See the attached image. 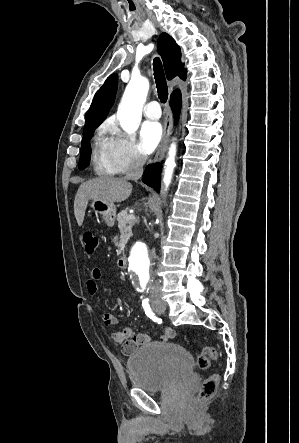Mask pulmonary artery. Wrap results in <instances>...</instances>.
<instances>
[{
    "mask_svg": "<svg viewBox=\"0 0 299 443\" xmlns=\"http://www.w3.org/2000/svg\"><path fill=\"white\" fill-rule=\"evenodd\" d=\"M144 115L149 119H158L161 116V109L157 101H150L144 108Z\"/></svg>",
    "mask_w": 299,
    "mask_h": 443,
    "instance_id": "e3ab8cb5",
    "label": "pulmonary artery"
}]
</instances>
